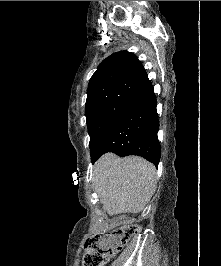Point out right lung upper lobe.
Instances as JSON below:
<instances>
[{
    "label": "right lung upper lobe",
    "mask_w": 221,
    "mask_h": 266,
    "mask_svg": "<svg viewBox=\"0 0 221 266\" xmlns=\"http://www.w3.org/2000/svg\"><path fill=\"white\" fill-rule=\"evenodd\" d=\"M150 80L137 57L128 51L113 53L104 59L92 75L87 94L105 88L133 85L144 87Z\"/></svg>",
    "instance_id": "cb5924a9"
}]
</instances>
